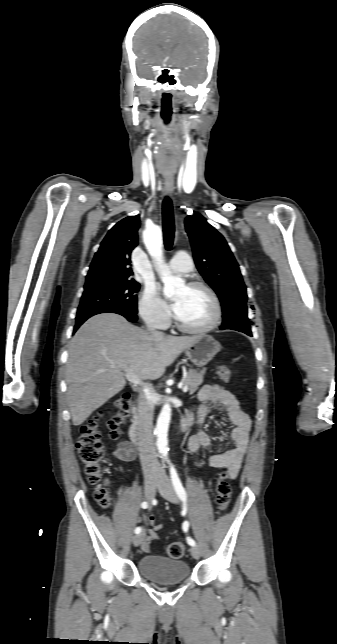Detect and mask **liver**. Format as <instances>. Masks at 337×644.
<instances>
[{
    "label": "liver",
    "instance_id": "obj_1",
    "mask_svg": "<svg viewBox=\"0 0 337 644\" xmlns=\"http://www.w3.org/2000/svg\"><path fill=\"white\" fill-rule=\"evenodd\" d=\"M197 338L157 337L113 313L89 318L68 350L65 377L73 425H81L125 387L122 370L143 380L158 379Z\"/></svg>",
    "mask_w": 337,
    "mask_h": 644
}]
</instances>
